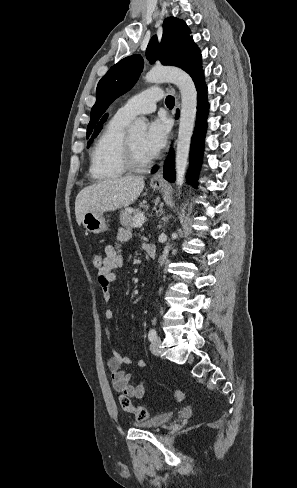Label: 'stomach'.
<instances>
[{"label": "stomach", "instance_id": "stomach-1", "mask_svg": "<svg viewBox=\"0 0 297 488\" xmlns=\"http://www.w3.org/2000/svg\"><path fill=\"white\" fill-rule=\"evenodd\" d=\"M151 186L154 190L160 188L158 184H151ZM81 222L87 231L94 234H99L107 230L106 221L102 213L86 212Z\"/></svg>", "mask_w": 297, "mask_h": 488}]
</instances>
